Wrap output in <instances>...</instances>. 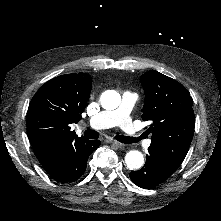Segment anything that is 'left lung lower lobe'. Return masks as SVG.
Segmentation results:
<instances>
[{
    "label": "left lung lower lobe",
    "instance_id": "obj_1",
    "mask_svg": "<svg viewBox=\"0 0 221 221\" xmlns=\"http://www.w3.org/2000/svg\"><path fill=\"white\" fill-rule=\"evenodd\" d=\"M148 152L149 155H146L144 167L130 173L131 180L144 189L155 188L178 168L169 163L159 151L149 147Z\"/></svg>",
    "mask_w": 221,
    "mask_h": 221
}]
</instances>
